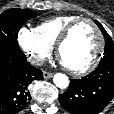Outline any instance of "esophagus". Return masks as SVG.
<instances>
[{
	"label": "esophagus",
	"mask_w": 114,
	"mask_h": 114,
	"mask_svg": "<svg viewBox=\"0 0 114 114\" xmlns=\"http://www.w3.org/2000/svg\"><path fill=\"white\" fill-rule=\"evenodd\" d=\"M53 76V74L51 72H47V71H43V77L45 79H49Z\"/></svg>",
	"instance_id": "34e87169"
}]
</instances>
